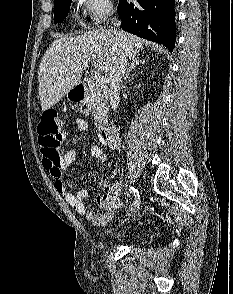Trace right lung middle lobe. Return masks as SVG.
I'll list each match as a JSON object with an SVG mask.
<instances>
[{
    "label": "right lung middle lobe",
    "mask_w": 233,
    "mask_h": 294,
    "mask_svg": "<svg viewBox=\"0 0 233 294\" xmlns=\"http://www.w3.org/2000/svg\"><path fill=\"white\" fill-rule=\"evenodd\" d=\"M72 0H54V24L62 23L67 16Z\"/></svg>",
    "instance_id": "right-lung-middle-lobe-1"
}]
</instances>
